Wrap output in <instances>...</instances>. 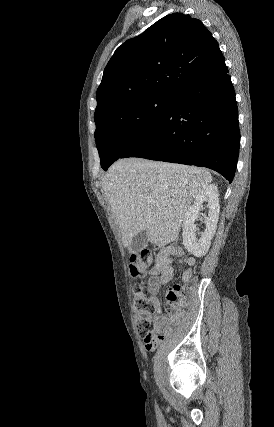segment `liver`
Listing matches in <instances>:
<instances>
[{
    "label": "liver",
    "instance_id": "6515ba94",
    "mask_svg": "<svg viewBox=\"0 0 274 427\" xmlns=\"http://www.w3.org/2000/svg\"><path fill=\"white\" fill-rule=\"evenodd\" d=\"M212 180L208 170L195 166L141 158L115 162L103 176L102 188L117 219L124 247L142 229L156 245L174 241L193 198Z\"/></svg>",
    "mask_w": 274,
    "mask_h": 427
}]
</instances>
